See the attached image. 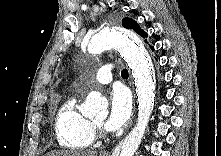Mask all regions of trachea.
I'll use <instances>...</instances> for the list:
<instances>
[{
    "instance_id": "obj_1",
    "label": "trachea",
    "mask_w": 221,
    "mask_h": 156,
    "mask_svg": "<svg viewBox=\"0 0 221 156\" xmlns=\"http://www.w3.org/2000/svg\"><path fill=\"white\" fill-rule=\"evenodd\" d=\"M121 76H122L123 78H127V77L129 76L128 70H127V69H123V70L121 71Z\"/></svg>"
}]
</instances>
